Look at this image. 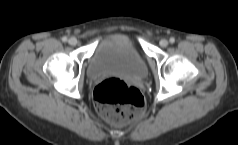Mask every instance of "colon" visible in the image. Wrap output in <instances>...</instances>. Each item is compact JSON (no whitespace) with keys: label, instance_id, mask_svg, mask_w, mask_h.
<instances>
[{"label":"colon","instance_id":"1","mask_svg":"<svg viewBox=\"0 0 238 145\" xmlns=\"http://www.w3.org/2000/svg\"><path fill=\"white\" fill-rule=\"evenodd\" d=\"M94 101L101 116L115 123L139 118L145 108L142 93L115 77L105 79L96 86Z\"/></svg>","mask_w":238,"mask_h":145}]
</instances>
